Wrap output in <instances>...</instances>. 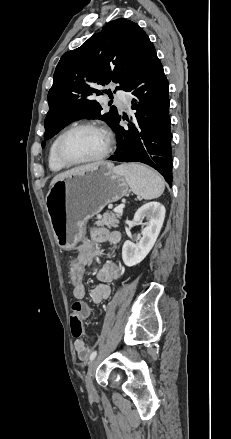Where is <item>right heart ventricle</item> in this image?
<instances>
[{
  "instance_id": "obj_1",
  "label": "right heart ventricle",
  "mask_w": 231,
  "mask_h": 439,
  "mask_svg": "<svg viewBox=\"0 0 231 439\" xmlns=\"http://www.w3.org/2000/svg\"><path fill=\"white\" fill-rule=\"evenodd\" d=\"M59 135L52 141L50 147H49V152H48V166L50 168V170L54 171V172H58L61 170H64L67 168V165H65L64 163H62L56 153V144H57V140H58Z\"/></svg>"
}]
</instances>
